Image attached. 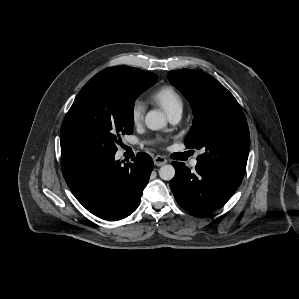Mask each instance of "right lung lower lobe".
<instances>
[{
	"instance_id": "1",
	"label": "right lung lower lobe",
	"mask_w": 299,
	"mask_h": 299,
	"mask_svg": "<svg viewBox=\"0 0 299 299\" xmlns=\"http://www.w3.org/2000/svg\"><path fill=\"white\" fill-rule=\"evenodd\" d=\"M114 155L61 151L65 181L78 201L99 218L116 221L132 214L148 183L152 158L143 152L122 165Z\"/></svg>"
}]
</instances>
